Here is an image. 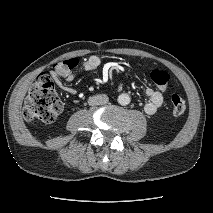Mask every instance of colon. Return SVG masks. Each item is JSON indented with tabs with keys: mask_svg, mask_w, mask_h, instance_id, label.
<instances>
[{
	"mask_svg": "<svg viewBox=\"0 0 213 213\" xmlns=\"http://www.w3.org/2000/svg\"><path fill=\"white\" fill-rule=\"evenodd\" d=\"M78 64L76 58L67 59L55 63L52 73L56 77H63L73 70ZM152 82L160 90H165L169 82V74L162 70L154 69L150 72ZM171 108L174 115H181L186 110L185 100L178 94H173L170 98ZM63 109V104L59 98L54 83L48 75L39 76L32 85L23 107V117L27 121H40L51 123Z\"/></svg>",
	"mask_w": 213,
	"mask_h": 213,
	"instance_id": "5ec220e1",
	"label": "colon"
}]
</instances>
